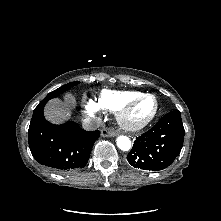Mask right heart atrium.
<instances>
[{"label": "right heart atrium", "instance_id": "right-heart-atrium-1", "mask_svg": "<svg viewBox=\"0 0 221 221\" xmlns=\"http://www.w3.org/2000/svg\"><path fill=\"white\" fill-rule=\"evenodd\" d=\"M85 111L86 113L93 115L99 111V108L93 100L87 99L85 102Z\"/></svg>", "mask_w": 221, "mask_h": 221}]
</instances>
